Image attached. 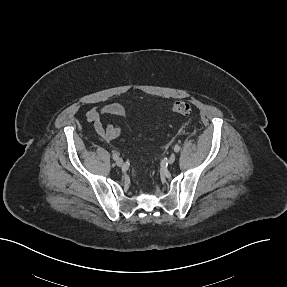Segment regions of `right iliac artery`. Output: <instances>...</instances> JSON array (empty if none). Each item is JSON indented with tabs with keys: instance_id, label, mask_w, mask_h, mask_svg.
<instances>
[{
	"instance_id": "obj_1",
	"label": "right iliac artery",
	"mask_w": 287,
	"mask_h": 287,
	"mask_svg": "<svg viewBox=\"0 0 287 287\" xmlns=\"http://www.w3.org/2000/svg\"><path fill=\"white\" fill-rule=\"evenodd\" d=\"M112 157H113L114 160H117L119 158L117 153H113Z\"/></svg>"
}]
</instances>
